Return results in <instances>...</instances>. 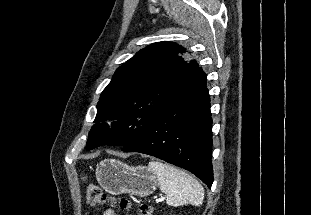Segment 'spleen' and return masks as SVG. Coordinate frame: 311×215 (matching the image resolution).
Instances as JSON below:
<instances>
[{"instance_id":"1","label":"spleen","mask_w":311,"mask_h":215,"mask_svg":"<svg viewBox=\"0 0 311 215\" xmlns=\"http://www.w3.org/2000/svg\"><path fill=\"white\" fill-rule=\"evenodd\" d=\"M148 168L155 174L160 190L166 193L168 205L202 204L204 188L189 173L159 161L150 162Z\"/></svg>"}]
</instances>
